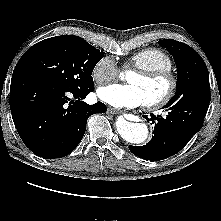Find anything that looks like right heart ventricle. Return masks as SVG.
<instances>
[{"instance_id":"right-heart-ventricle-1","label":"right heart ventricle","mask_w":221,"mask_h":221,"mask_svg":"<svg viewBox=\"0 0 221 221\" xmlns=\"http://www.w3.org/2000/svg\"><path fill=\"white\" fill-rule=\"evenodd\" d=\"M136 69L171 70L173 62L171 57L159 48H146L136 52L126 64Z\"/></svg>"}]
</instances>
